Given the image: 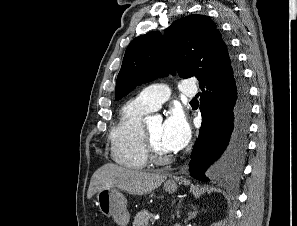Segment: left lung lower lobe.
Instances as JSON below:
<instances>
[{
    "mask_svg": "<svg viewBox=\"0 0 297 226\" xmlns=\"http://www.w3.org/2000/svg\"><path fill=\"white\" fill-rule=\"evenodd\" d=\"M203 118L194 145L189 171L192 177L208 181L207 167L220 156L227 180L238 179L247 148L251 105L241 69L233 60V72L200 83Z\"/></svg>",
    "mask_w": 297,
    "mask_h": 226,
    "instance_id": "1",
    "label": "left lung lower lobe"
}]
</instances>
